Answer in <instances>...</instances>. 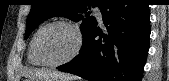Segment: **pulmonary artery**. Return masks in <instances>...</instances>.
<instances>
[{"instance_id": "1", "label": "pulmonary artery", "mask_w": 169, "mask_h": 81, "mask_svg": "<svg viewBox=\"0 0 169 81\" xmlns=\"http://www.w3.org/2000/svg\"><path fill=\"white\" fill-rule=\"evenodd\" d=\"M95 12H96V15H97L98 20H99L100 22H102V15L100 14L99 9L96 8V9H95Z\"/></svg>"}]
</instances>
